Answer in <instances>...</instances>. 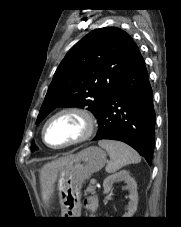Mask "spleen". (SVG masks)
Returning <instances> with one entry per match:
<instances>
[{
    "label": "spleen",
    "mask_w": 181,
    "mask_h": 227,
    "mask_svg": "<svg viewBox=\"0 0 181 227\" xmlns=\"http://www.w3.org/2000/svg\"><path fill=\"white\" fill-rule=\"evenodd\" d=\"M98 144L104 148L110 156V162L106 166L108 173H114L128 164L139 163L141 161L140 155L123 142L101 140Z\"/></svg>",
    "instance_id": "3e777b00"
}]
</instances>
